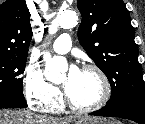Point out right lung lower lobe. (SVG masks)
I'll list each match as a JSON object with an SVG mask.
<instances>
[{"label":"right lung lower lobe","mask_w":145,"mask_h":124,"mask_svg":"<svg viewBox=\"0 0 145 124\" xmlns=\"http://www.w3.org/2000/svg\"><path fill=\"white\" fill-rule=\"evenodd\" d=\"M27 104L23 92L2 91L0 92V108H25Z\"/></svg>","instance_id":"1"}]
</instances>
